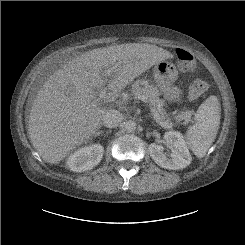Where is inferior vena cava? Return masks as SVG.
Here are the masks:
<instances>
[{"label":"inferior vena cava","instance_id":"1","mask_svg":"<svg viewBox=\"0 0 245 245\" xmlns=\"http://www.w3.org/2000/svg\"><path fill=\"white\" fill-rule=\"evenodd\" d=\"M123 117L117 110H107L103 116L102 123L105 127L114 128L120 124Z\"/></svg>","mask_w":245,"mask_h":245}]
</instances>
